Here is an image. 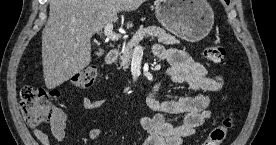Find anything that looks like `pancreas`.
Here are the masks:
<instances>
[{
	"instance_id": "obj_1",
	"label": "pancreas",
	"mask_w": 276,
	"mask_h": 145,
	"mask_svg": "<svg viewBox=\"0 0 276 145\" xmlns=\"http://www.w3.org/2000/svg\"><path fill=\"white\" fill-rule=\"evenodd\" d=\"M147 37L157 38L159 43L165 45L179 44L174 36L166 33V31L157 26L140 27L138 31L133 35L132 39L122 48L120 57V66L126 70L130 65V61L134 52V49L139 43Z\"/></svg>"
}]
</instances>
